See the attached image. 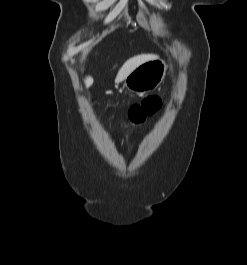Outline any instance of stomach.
Masks as SVG:
<instances>
[{"mask_svg": "<svg viewBox=\"0 0 247 265\" xmlns=\"http://www.w3.org/2000/svg\"><path fill=\"white\" fill-rule=\"evenodd\" d=\"M166 70L167 65L161 59L145 62L125 78V86L135 93H148L163 82Z\"/></svg>", "mask_w": 247, "mask_h": 265, "instance_id": "stomach-1", "label": "stomach"}]
</instances>
